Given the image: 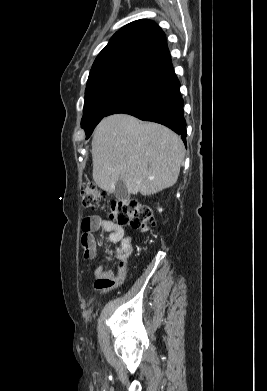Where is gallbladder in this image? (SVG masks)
Wrapping results in <instances>:
<instances>
[{"label": "gallbladder", "instance_id": "gallbladder-1", "mask_svg": "<svg viewBox=\"0 0 267 391\" xmlns=\"http://www.w3.org/2000/svg\"><path fill=\"white\" fill-rule=\"evenodd\" d=\"M114 195L120 201H127L129 199L130 195L123 180L119 179L116 182Z\"/></svg>", "mask_w": 267, "mask_h": 391}]
</instances>
